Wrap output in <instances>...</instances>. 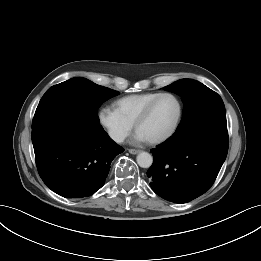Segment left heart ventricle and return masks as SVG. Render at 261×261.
I'll list each match as a JSON object with an SVG mask.
<instances>
[{
    "label": "left heart ventricle",
    "instance_id": "left-heart-ventricle-1",
    "mask_svg": "<svg viewBox=\"0 0 261 261\" xmlns=\"http://www.w3.org/2000/svg\"><path fill=\"white\" fill-rule=\"evenodd\" d=\"M177 111L175 100L171 97H163L155 104L150 115L139 125L137 131L147 140L157 138L170 129Z\"/></svg>",
    "mask_w": 261,
    "mask_h": 261
}]
</instances>
